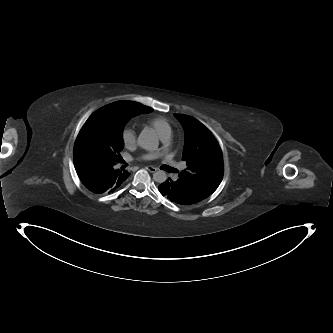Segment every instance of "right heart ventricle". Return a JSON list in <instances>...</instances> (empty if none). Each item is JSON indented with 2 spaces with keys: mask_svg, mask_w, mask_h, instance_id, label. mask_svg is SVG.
Listing matches in <instances>:
<instances>
[{
  "mask_svg": "<svg viewBox=\"0 0 333 333\" xmlns=\"http://www.w3.org/2000/svg\"><path fill=\"white\" fill-rule=\"evenodd\" d=\"M148 124L153 127L160 136L171 133V127L169 123L162 117L149 118Z\"/></svg>",
  "mask_w": 333,
  "mask_h": 333,
  "instance_id": "1",
  "label": "right heart ventricle"
}]
</instances>
